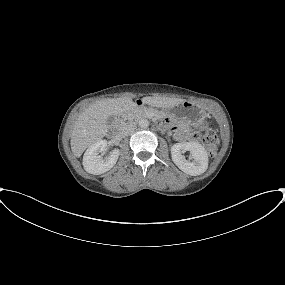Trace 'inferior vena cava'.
<instances>
[{
  "label": "inferior vena cava",
  "mask_w": 285,
  "mask_h": 285,
  "mask_svg": "<svg viewBox=\"0 0 285 285\" xmlns=\"http://www.w3.org/2000/svg\"><path fill=\"white\" fill-rule=\"evenodd\" d=\"M136 128V125L132 122L123 124L119 129V134L123 137L132 133Z\"/></svg>",
  "instance_id": "602c4592"
}]
</instances>
